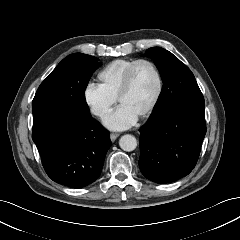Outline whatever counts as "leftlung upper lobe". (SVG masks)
Listing matches in <instances>:
<instances>
[{
    "mask_svg": "<svg viewBox=\"0 0 240 240\" xmlns=\"http://www.w3.org/2000/svg\"><path fill=\"white\" fill-rule=\"evenodd\" d=\"M145 56L153 58L163 80L159 100L148 120L179 105L205 106L193 73L176 56L161 47L147 49Z\"/></svg>",
    "mask_w": 240,
    "mask_h": 240,
    "instance_id": "obj_1",
    "label": "left lung upper lobe"
}]
</instances>
